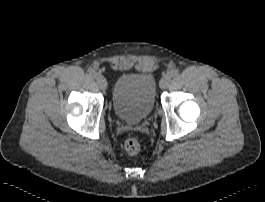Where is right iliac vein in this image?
Returning <instances> with one entry per match:
<instances>
[{
    "instance_id": "obj_1",
    "label": "right iliac vein",
    "mask_w": 265,
    "mask_h": 202,
    "mask_svg": "<svg viewBox=\"0 0 265 202\" xmlns=\"http://www.w3.org/2000/svg\"><path fill=\"white\" fill-rule=\"evenodd\" d=\"M95 78H96V83L100 89L104 90L107 88V81L102 75L97 74Z\"/></svg>"
}]
</instances>
